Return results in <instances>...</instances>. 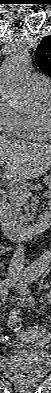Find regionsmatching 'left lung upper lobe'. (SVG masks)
Segmentation results:
<instances>
[{"label":"left lung upper lobe","instance_id":"obj_1","mask_svg":"<svg viewBox=\"0 0 51 393\" xmlns=\"http://www.w3.org/2000/svg\"><path fill=\"white\" fill-rule=\"evenodd\" d=\"M35 55L40 69L51 77V35L42 39Z\"/></svg>","mask_w":51,"mask_h":393}]
</instances>
